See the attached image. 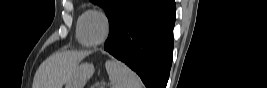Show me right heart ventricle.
<instances>
[{
    "instance_id": "e07e8e85",
    "label": "right heart ventricle",
    "mask_w": 267,
    "mask_h": 88,
    "mask_svg": "<svg viewBox=\"0 0 267 88\" xmlns=\"http://www.w3.org/2000/svg\"><path fill=\"white\" fill-rule=\"evenodd\" d=\"M89 12L90 11H86V12L81 13L78 16V19L76 22L75 35H76L78 42L82 45H85V44H84V42L82 40V36H81V27H82V23H83V19H84L85 15L88 14Z\"/></svg>"
}]
</instances>
